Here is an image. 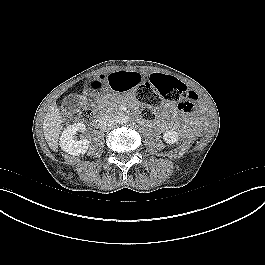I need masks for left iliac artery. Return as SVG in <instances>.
<instances>
[{"mask_svg":"<svg viewBox=\"0 0 265 265\" xmlns=\"http://www.w3.org/2000/svg\"><path fill=\"white\" fill-rule=\"evenodd\" d=\"M128 121H129V118H126V119L124 120L125 123L128 122Z\"/></svg>","mask_w":265,"mask_h":265,"instance_id":"44dca946","label":"left iliac artery"}]
</instances>
